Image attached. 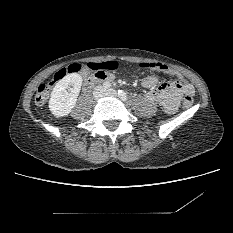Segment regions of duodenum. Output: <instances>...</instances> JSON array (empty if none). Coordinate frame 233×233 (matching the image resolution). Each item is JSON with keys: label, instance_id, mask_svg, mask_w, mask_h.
<instances>
[{"label": "duodenum", "instance_id": "410a0bca", "mask_svg": "<svg viewBox=\"0 0 233 233\" xmlns=\"http://www.w3.org/2000/svg\"><path fill=\"white\" fill-rule=\"evenodd\" d=\"M107 81H110V78L108 75H106L103 72L96 71L94 74L90 75L86 79L85 85L86 86H93V85H96L98 83L107 82Z\"/></svg>", "mask_w": 233, "mask_h": 233}]
</instances>
